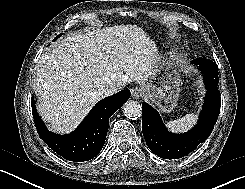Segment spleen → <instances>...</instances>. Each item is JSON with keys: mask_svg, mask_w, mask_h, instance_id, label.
<instances>
[{"mask_svg": "<svg viewBox=\"0 0 245 189\" xmlns=\"http://www.w3.org/2000/svg\"><path fill=\"white\" fill-rule=\"evenodd\" d=\"M197 122V114L190 113L184 117L170 121L167 127L173 132H185L190 129Z\"/></svg>", "mask_w": 245, "mask_h": 189, "instance_id": "3e777b00", "label": "spleen"}]
</instances>
